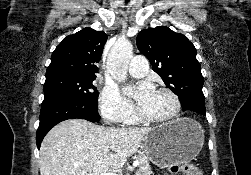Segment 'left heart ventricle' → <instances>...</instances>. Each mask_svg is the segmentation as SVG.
I'll return each instance as SVG.
<instances>
[{
  "label": "left heart ventricle",
  "instance_id": "obj_1",
  "mask_svg": "<svg viewBox=\"0 0 251 175\" xmlns=\"http://www.w3.org/2000/svg\"><path fill=\"white\" fill-rule=\"evenodd\" d=\"M140 111L149 116L168 118L174 114L175 104L168 93L155 90L151 101L141 106Z\"/></svg>",
  "mask_w": 251,
  "mask_h": 175
}]
</instances>
